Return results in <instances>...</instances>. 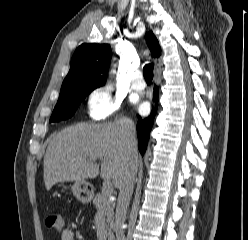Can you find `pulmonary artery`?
I'll use <instances>...</instances> for the list:
<instances>
[{
	"instance_id": "e3ab8cb5",
	"label": "pulmonary artery",
	"mask_w": 248,
	"mask_h": 240,
	"mask_svg": "<svg viewBox=\"0 0 248 240\" xmlns=\"http://www.w3.org/2000/svg\"><path fill=\"white\" fill-rule=\"evenodd\" d=\"M132 88L136 91H141L145 88V81L141 71H136L133 76Z\"/></svg>"
}]
</instances>
